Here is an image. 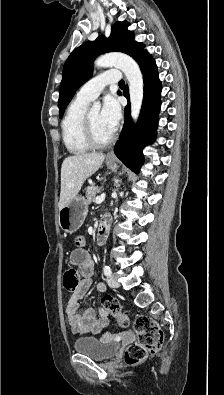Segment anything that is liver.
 Here are the masks:
<instances>
[{
    "label": "liver",
    "mask_w": 224,
    "mask_h": 395,
    "mask_svg": "<svg viewBox=\"0 0 224 395\" xmlns=\"http://www.w3.org/2000/svg\"><path fill=\"white\" fill-rule=\"evenodd\" d=\"M105 159L103 153H77L64 159L61 167L59 210L75 198L87 178L92 176Z\"/></svg>",
    "instance_id": "obj_1"
}]
</instances>
